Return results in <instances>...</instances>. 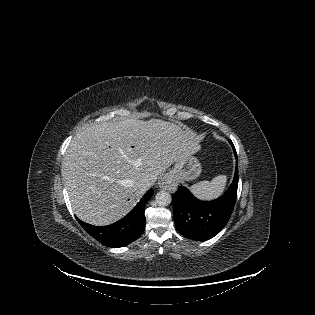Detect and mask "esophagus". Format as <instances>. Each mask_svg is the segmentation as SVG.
Masks as SVG:
<instances>
[{
    "instance_id": "34e87169",
    "label": "esophagus",
    "mask_w": 315,
    "mask_h": 315,
    "mask_svg": "<svg viewBox=\"0 0 315 315\" xmlns=\"http://www.w3.org/2000/svg\"><path fill=\"white\" fill-rule=\"evenodd\" d=\"M158 187L169 192H174L177 188V183L170 175H164L158 181Z\"/></svg>"
}]
</instances>
